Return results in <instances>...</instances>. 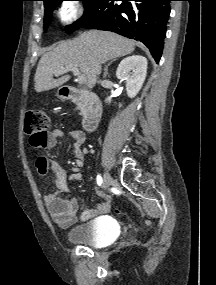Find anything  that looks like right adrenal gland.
<instances>
[{
  "label": "right adrenal gland",
  "instance_id": "right-adrenal-gland-1",
  "mask_svg": "<svg viewBox=\"0 0 216 285\" xmlns=\"http://www.w3.org/2000/svg\"><path fill=\"white\" fill-rule=\"evenodd\" d=\"M116 60H117V58L111 60V61L105 66V68H104V78H106L107 75H108V67H109L114 61H116Z\"/></svg>",
  "mask_w": 216,
  "mask_h": 285
}]
</instances>
